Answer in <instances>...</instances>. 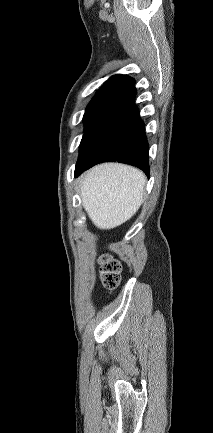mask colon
Here are the masks:
<instances>
[{"label":"colon","mask_w":213,"mask_h":433,"mask_svg":"<svg viewBox=\"0 0 213 433\" xmlns=\"http://www.w3.org/2000/svg\"><path fill=\"white\" fill-rule=\"evenodd\" d=\"M100 275L104 287L114 290L121 280V264L110 255H103L100 260Z\"/></svg>","instance_id":"colon-1"}]
</instances>
